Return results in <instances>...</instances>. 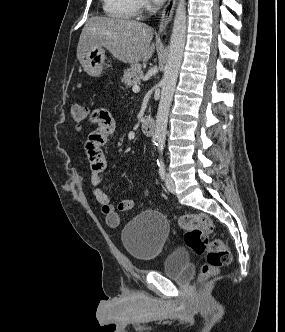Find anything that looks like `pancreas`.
<instances>
[{"instance_id":"pancreas-1","label":"pancreas","mask_w":285,"mask_h":332,"mask_svg":"<svg viewBox=\"0 0 285 332\" xmlns=\"http://www.w3.org/2000/svg\"><path fill=\"white\" fill-rule=\"evenodd\" d=\"M143 78V70L140 64H133L130 68L124 71L122 82L126 87L137 85Z\"/></svg>"}]
</instances>
